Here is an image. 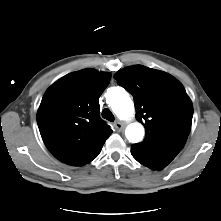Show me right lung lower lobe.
Segmentation results:
<instances>
[{"label":"right lung lower lobe","mask_w":221,"mask_h":221,"mask_svg":"<svg viewBox=\"0 0 221 221\" xmlns=\"http://www.w3.org/2000/svg\"><path fill=\"white\" fill-rule=\"evenodd\" d=\"M101 149H102V147H100V148H99L97 151H95L88 159H86L83 163H81V164L78 165V166L85 165V164L91 162L93 159H95V158L99 155Z\"/></svg>","instance_id":"right-lung-lower-lobe-1"}]
</instances>
